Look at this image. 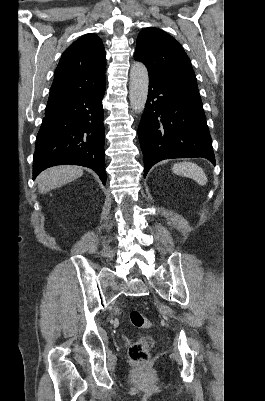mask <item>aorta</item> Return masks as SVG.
Wrapping results in <instances>:
<instances>
[{
    "mask_svg": "<svg viewBox=\"0 0 265 401\" xmlns=\"http://www.w3.org/2000/svg\"><path fill=\"white\" fill-rule=\"evenodd\" d=\"M149 76L148 70L143 62H134L130 68L129 96L131 106L140 114L144 110L148 94Z\"/></svg>",
    "mask_w": 265,
    "mask_h": 401,
    "instance_id": "aorta-1",
    "label": "aorta"
}]
</instances>
